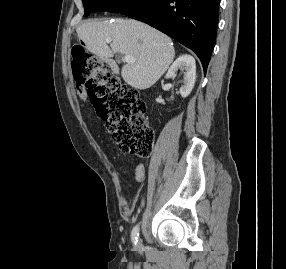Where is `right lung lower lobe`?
Returning <instances> with one entry per match:
<instances>
[{
  "instance_id": "right-lung-lower-lobe-1",
  "label": "right lung lower lobe",
  "mask_w": 286,
  "mask_h": 269,
  "mask_svg": "<svg viewBox=\"0 0 286 269\" xmlns=\"http://www.w3.org/2000/svg\"><path fill=\"white\" fill-rule=\"evenodd\" d=\"M219 4L220 0H154L128 16L190 48L206 72L215 45Z\"/></svg>"
}]
</instances>
